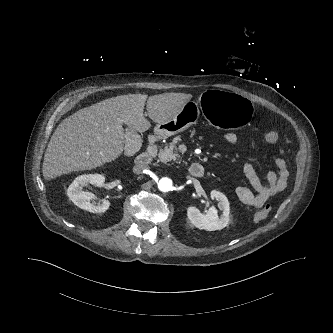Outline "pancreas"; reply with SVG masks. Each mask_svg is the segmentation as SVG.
I'll return each mask as SVG.
<instances>
[{
  "label": "pancreas",
  "mask_w": 333,
  "mask_h": 333,
  "mask_svg": "<svg viewBox=\"0 0 333 333\" xmlns=\"http://www.w3.org/2000/svg\"><path fill=\"white\" fill-rule=\"evenodd\" d=\"M177 140H174L168 144L165 145L163 149H160L158 153L159 160L167 164L171 161L178 162L180 156L177 153V146H176Z\"/></svg>",
  "instance_id": "pancreas-1"
}]
</instances>
